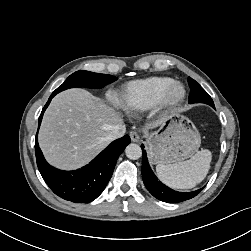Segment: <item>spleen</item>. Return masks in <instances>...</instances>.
I'll use <instances>...</instances> for the list:
<instances>
[{"label": "spleen", "instance_id": "1", "mask_svg": "<svg viewBox=\"0 0 251 251\" xmlns=\"http://www.w3.org/2000/svg\"><path fill=\"white\" fill-rule=\"evenodd\" d=\"M212 154L198 151L191 159L174 164H158L156 172L162 182L176 189H190L202 182L209 169Z\"/></svg>", "mask_w": 251, "mask_h": 251}]
</instances>
